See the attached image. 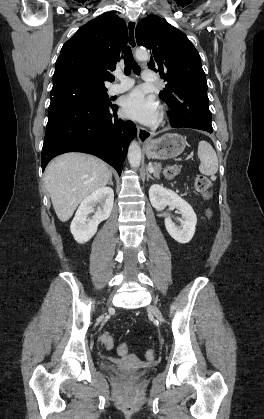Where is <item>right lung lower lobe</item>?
I'll use <instances>...</instances> for the list:
<instances>
[{
  "label": "right lung lower lobe",
  "mask_w": 264,
  "mask_h": 419,
  "mask_svg": "<svg viewBox=\"0 0 264 419\" xmlns=\"http://www.w3.org/2000/svg\"><path fill=\"white\" fill-rule=\"evenodd\" d=\"M116 105H97L69 101L55 105L48 112L41 166L66 152L95 155L121 174L130 141L136 135L132 121L117 118Z\"/></svg>",
  "instance_id": "1"
}]
</instances>
